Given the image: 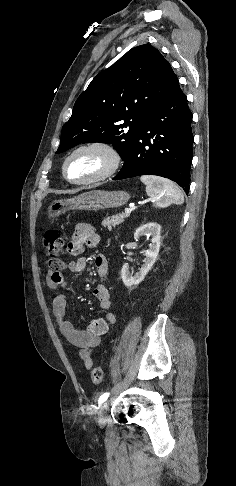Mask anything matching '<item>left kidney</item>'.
I'll return each instance as SVG.
<instances>
[{
    "instance_id": "left-kidney-1",
    "label": "left kidney",
    "mask_w": 236,
    "mask_h": 486,
    "mask_svg": "<svg viewBox=\"0 0 236 486\" xmlns=\"http://www.w3.org/2000/svg\"><path fill=\"white\" fill-rule=\"evenodd\" d=\"M160 233H161V226L157 223L151 222L146 223L140 226L134 233V239L137 240L140 236L149 235L152 237L151 244L149 249L144 251L145 259L144 264L140 268L138 272L132 274L129 271V266L127 263H124L121 269V278L125 286L131 287L134 285H138L143 281L146 274L151 270L152 266L154 265L159 249H160Z\"/></svg>"
}]
</instances>
